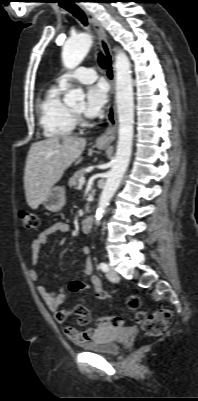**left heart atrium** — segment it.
<instances>
[{
  "label": "left heart atrium",
  "instance_id": "39dd6f15",
  "mask_svg": "<svg viewBox=\"0 0 198 401\" xmlns=\"http://www.w3.org/2000/svg\"><path fill=\"white\" fill-rule=\"evenodd\" d=\"M107 86L103 82H98L87 88L84 114L89 118L97 117L102 113L107 103Z\"/></svg>",
  "mask_w": 198,
  "mask_h": 401
}]
</instances>
